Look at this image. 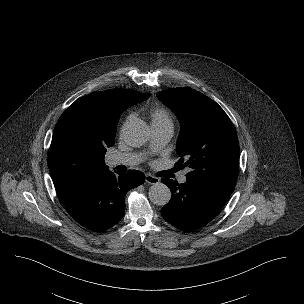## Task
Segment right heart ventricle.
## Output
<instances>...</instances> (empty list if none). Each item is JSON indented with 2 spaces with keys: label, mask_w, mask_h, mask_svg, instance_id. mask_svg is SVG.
<instances>
[{
  "label": "right heart ventricle",
  "mask_w": 304,
  "mask_h": 304,
  "mask_svg": "<svg viewBox=\"0 0 304 304\" xmlns=\"http://www.w3.org/2000/svg\"><path fill=\"white\" fill-rule=\"evenodd\" d=\"M152 126H172L173 120L169 111L162 106H154L149 111Z\"/></svg>",
  "instance_id": "obj_1"
}]
</instances>
